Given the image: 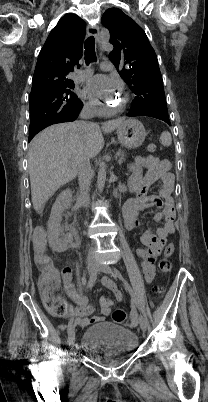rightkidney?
<instances>
[{
    "label": "right kidney",
    "mask_w": 208,
    "mask_h": 402,
    "mask_svg": "<svg viewBox=\"0 0 208 402\" xmlns=\"http://www.w3.org/2000/svg\"><path fill=\"white\" fill-rule=\"evenodd\" d=\"M71 200V190H63L52 206L48 222V242L53 252H65L68 248V244H71L73 240L71 234H63L64 228L61 226L62 214L66 212V210H69ZM59 236H64L63 240H61Z\"/></svg>",
    "instance_id": "obj_1"
}]
</instances>
